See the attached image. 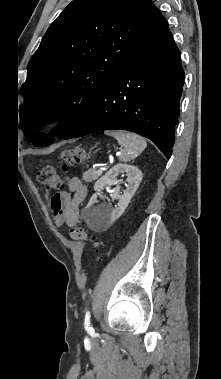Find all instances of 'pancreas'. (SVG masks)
Segmentation results:
<instances>
[{
  "label": "pancreas",
  "mask_w": 221,
  "mask_h": 379,
  "mask_svg": "<svg viewBox=\"0 0 221 379\" xmlns=\"http://www.w3.org/2000/svg\"><path fill=\"white\" fill-rule=\"evenodd\" d=\"M102 175V172L90 169L83 174V180L86 182H92L98 179Z\"/></svg>",
  "instance_id": "pancreas-1"
}]
</instances>
